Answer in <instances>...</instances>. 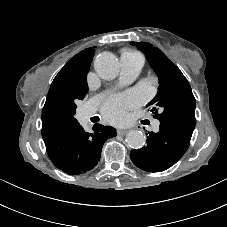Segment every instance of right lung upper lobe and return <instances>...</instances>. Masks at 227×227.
I'll use <instances>...</instances> for the list:
<instances>
[{
    "label": "right lung upper lobe",
    "mask_w": 227,
    "mask_h": 227,
    "mask_svg": "<svg viewBox=\"0 0 227 227\" xmlns=\"http://www.w3.org/2000/svg\"><path fill=\"white\" fill-rule=\"evenodd\" d=\"M94 56L92 47L72 57L54 78L48 95L60 90H88L87 73Z\"/></svg>",
    "instance_id": "obj_1"
}]
</instances>
